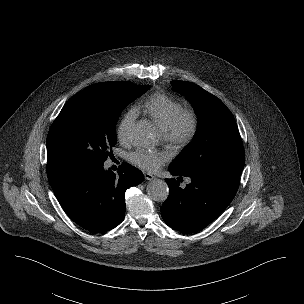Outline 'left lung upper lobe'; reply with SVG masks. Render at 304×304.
I'll use <instances>...</instances> for the list:
<instances>
[{"mask_svg":"<svg viewBox=\"0 0 304 304\" xmlns=\"http://www.w3.org/2000/svg\"><path fill=\"white\" fill-rule=\"evenodd\" d=\"M171 84L192 104L198 128L194 140L170 166L183 174L222 173L240 177L245 155L232 113L221 100L194 83L175 80Z\"/></svg>","mask_w":304,"mask_h":304,"instance_id":"left-lung-upper-lobe-1","label":"left lung upper lobe"}]
</instances>
